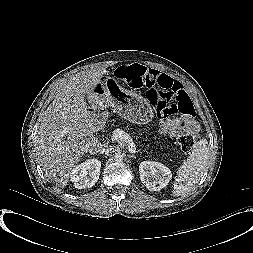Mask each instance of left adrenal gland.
Instances as JSON below:
<instances>
[{"mask_svg":"<svg viewBox=\"0 0 253 253\" xmlns=\"http://www.w3.org/2000/svg\"><path fill=\"white\" fill-rule=\"evenodd\" d=\"M130 157H135L134 155H131Z\"/></svg>","mask_w":253,"mask_h":253,"instance_id":"1","label":"left adrenal gland"}]
</instances>
